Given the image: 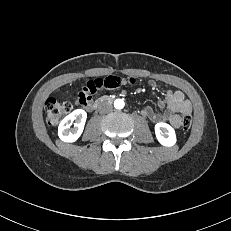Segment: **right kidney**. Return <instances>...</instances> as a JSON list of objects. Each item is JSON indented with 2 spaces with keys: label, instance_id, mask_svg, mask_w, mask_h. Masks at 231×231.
Returning a JSON list of instances; mask_svg holds the SVG:
<instances>
[{
  "label": "right kidney",
  "instance_id": "obj_1",
  "mask_svg": "<svg viewBox=\"0 0 231 231\" xmlns=\"http://www.w3.org/2000/svg\"><path fill=\"white\" fill-rule=\"evenodd\" d=\"M87 113L82 109L74 110L59 124L58 136L64 142H75L82 134L86 122ZM74 122V128L70 126Z\"/></svg>",
  "mask_w": 231,
  "mask_h": 231
}]
</instances>
